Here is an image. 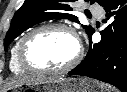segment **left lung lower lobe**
Here are the masks:
<instances>
[{"label": "left lung lower lobe", "mask_w": 127, "mask_h": 92, "mask_svg": "<svg viewBox=\"0 0 127 92\" xmlns=\"http://www.w3.org/2000/svg\"><path fill=\"white\" fill-rule=\"evenodd\" d=\"M104 9L107 19L115 20L101 31L99 43L92 45L90 40L85 59L68 74L95 78L127 92V0H114Z\"/></svg>", "instance_id": "0a47b994"}]
</instances>
